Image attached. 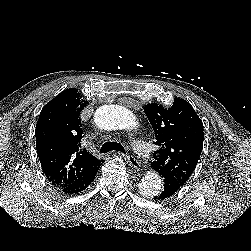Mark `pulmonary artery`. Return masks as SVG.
<instances>
[{"instance_id": "e3ab8cb5", "label": "pulmonary artery", "mask_w": 251, "mask_h": 251, "mask_svg": "<svg viewBox=\"0 0 251 251\" xmlns=\"http://www.w3.org/2000/svg\"><path fill=\"white\" fill-rule=\"evenodd\" d=\"M133 150L138 154V155H143L144 154V147L141 145L139 142H134L132 144Z\"/></svg>"}]
</instances>
